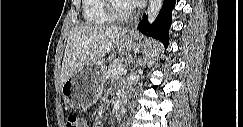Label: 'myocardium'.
<instances>
[{
  "instance_id": "obj_1",
  "label": "myocardium",
  "mask_w": 243,
  "mask_h": 127,
  "mask_svg": "<svg viewBox=\"0 0 243 127\" xmlns=\"http://www.w3.org/2000/svg\"><path fill=\"white\" fill-rule=\"evenodd\" d=\"M120 0H106V10L108 14L113 18V20L118 22L131 20L136 15V6L129 5V10L127 12H121L118 9V2Z\"/></svg>"
}]
</instances>
